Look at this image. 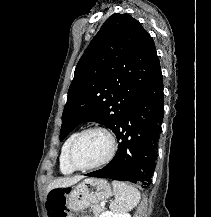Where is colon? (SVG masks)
I'll use <instances>...</instances> for the list:
<instances>
[{
  "mask_svg": "<svg viewBox=\"0 0 211 217\" xmlns=\"http://www.w3.org/2000/svg\"><path fill=\"white\" fill-rule=\"evenodd\" d=\"M49 217H66V205L64 192L60 189L52 190L47 199Z\"/></svg>",
  "mask_w": 211,
  "mask_h": 217,
  "instance_id": "colon-1",
  "label": "colon"
}]
</instances>
